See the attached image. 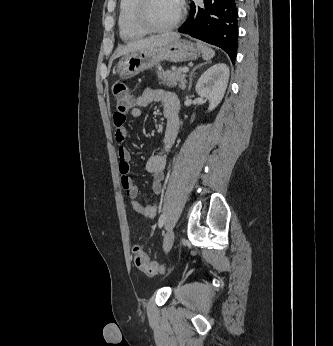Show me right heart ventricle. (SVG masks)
Masks as SVG:
<instances>
[{
    "mask_svg": "<svg viewBox=\"0 0 333 346\" xmlns=\"http://www.w3.org/2000/svg\"><path fill=\"white\" fill-rule=\"evenodd\" d=\"M138 0H120L118 9V30L121 39L132 42L142 38L147 31L136 19V5Z\"/></svg>",
    "mask_w": 333,
    "mask_h": 346,
    "instance_id": "right-heart-ventricle-1",
    "label": "right heart ventricle"
}]
</instances>
